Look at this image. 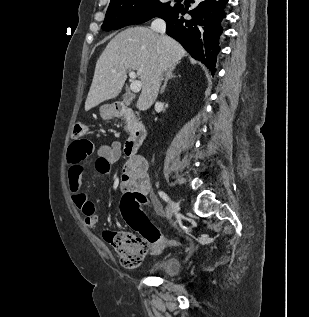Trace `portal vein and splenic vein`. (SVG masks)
<instances>
[{
	"mask_svg": "<svg viewBox=\"0 0 309 317\" xmlns=\"http://www.w3.org/2000/svg\"><path fill=\"white\" fill-rule=\"evenodd\" d=\"M129 77L132 79L130 84V89L134 93H138L141 90L142 84L141 81L137 80V75L134 71L129 72Z\"/></svg>",
	"mask_w": 309,
	"mask_h": 317,
	"instance_id": "portal-vein-and-splenic-vein-1",
	"label": "portal vein and splenic vein"
}]
</instances>
